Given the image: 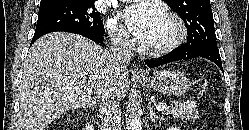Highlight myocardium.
I'll return each instance as SVG.
<instances>
[{"label": "myocardium", "instance_id": "obj_1", "mask_svg": "<svg viewBox=\"0 0 249 130\" xmlns=\"http://www.w3.org/2000/svg\"><path fill=\"white\" fill-rule=\"evenodd\" d=\"M165 18L173 23L176 32L174 37L169 41L161 45L148 48V52L153 56H162L174 51L182 45V43H184L188 36L187 27L184 21L177 14L166 13Z\"/></svg>", "mask_w": 249, "mask_h": 130}]
</instances>
